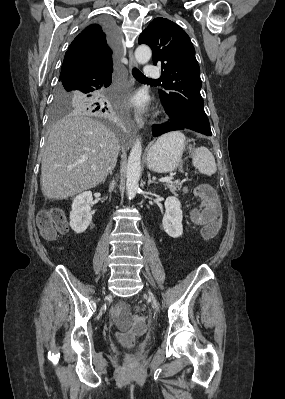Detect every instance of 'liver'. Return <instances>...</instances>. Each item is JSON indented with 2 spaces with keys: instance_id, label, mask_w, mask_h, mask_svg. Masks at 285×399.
<instances>
[{
  "instance_id": "6515ba94",
  "label": "liver",
  "mask_w": 285,
  "mask_h": 399,
  "mask_svg": "<svg viewBox=\"0 0 285 399\" xmlns=\"http://www.w3.org/2000/svg\"><path fill=\"white\" fill-rule=\"evenodd\" d=\"M119 150L113 131L73 111L49 132L41 166L44 197L66 199L104 182L116 165Z\"/></svg>"
}]
</instances>
